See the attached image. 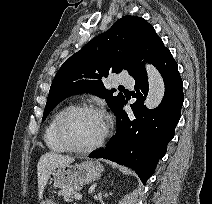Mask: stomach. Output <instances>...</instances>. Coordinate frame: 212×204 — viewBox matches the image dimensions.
Returning <instances> with one entry per match:
<instances>
[{
  "mask_svg": "<svg viewBox=\"0 0 212 204\" xmlns=\"http://www.w3.org/2000/svg\"><path fill=\"white\" fill-rule=\"evenodd\" d=\"M103 166L98 161H85L77 165H64L52 171L51 180L59 188L79 187L100 178ZM41 204H55L51 200Z\"/></svg>",
  "mask_w": 212,
  "mask_h": 204,
  "instance_id": "stomach-1",
  "label": "stomach"
}]
</instances>
